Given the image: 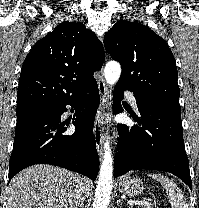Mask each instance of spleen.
<instances>
[{
  "instance_id": "obj_1",
  "label": "spleen",
  "mask_w": 199,
  "mask_h": 208,
  "mask_svg": "<svg viewBox=\"0 0 199 208\" xmlns=\"http://www.w3.org/2000/svg\"><path fill=\"white\" fill-rule=\"evenodd\" d=\"M149 176L160 182L164 187L172 208H188L186 199L172 180L161 174H149Z\"/></svg>"
}]
</instances>
